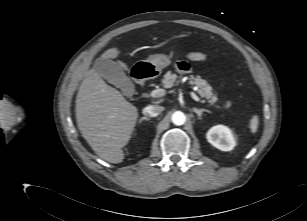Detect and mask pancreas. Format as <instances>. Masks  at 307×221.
Segmentation results:
<instances>
[{"label":"pancreas","instance_id":"obj_1","mask_svg":"<svg viewBox=\"0 0 307 221\" xmlns=\"http://www.w3.org/2000/svg\"><path fill=\"white\" fill-rule=\"evenodd\" d=\"M190 85H195L197 87L198 94L204 98V101H207L210 103L211 106H214L215 108L220 109L221 106L216 105L218 102L217 96L213 93L212 87L209 85V83L202 79L201 76H190L188 78ZM180 82L179 77L176 74H172L171 72H167L164 75V79L162 80V85L164 88H171L175 85H178ZM230 107V102L227 101L223 105V108L228 109Z\"/></svg>","mask_w":307,"mask_h":221}]
</instances>
